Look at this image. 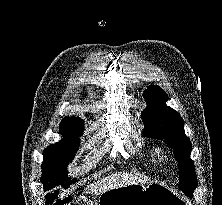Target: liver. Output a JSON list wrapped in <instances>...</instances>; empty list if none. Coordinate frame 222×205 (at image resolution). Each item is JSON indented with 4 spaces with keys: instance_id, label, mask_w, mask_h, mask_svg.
Listing matches in <instances>:
<instances>
[{
    "instance_id": "obj_1",
    "label": "liver",
    "mask_w": 222,
    "mask_h": 205,
    "mask_svg": "<svg viewBox=\"0 0 222 205\" xmlns=\"http://www.w3.org/2000/svg\"><path fill=\"white\" fill-rule=\"evenodd\" d=\"M143 180L128 173H115L105 179L90 184L85 190L91 194L100 195L101 193L118 187L142 183Z\"/></svg>"
}]
</instances>
